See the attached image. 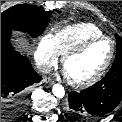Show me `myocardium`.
<instances>
[{
	"label": "myocardium",
	"mask_w": 122,
	"mask_h": 122,
	"mask_svg": "<svg viewBox=\"0 0 122 122\" xmlns=\"http://www.w3.org/2000/svg\"><path fill=\"white\" fill-rule=\"evenodd\" d=\"M102 40H107L111 44V51H110L108 59L106 60L104 65L98 70V72L95 73L93 76H91L88 79L76 81V80H72L68 77L69 83L71 85H73L74 87L84 88V87L91 86V85L95 84L96 82H98L104 76V74L106 73V71L110 67V65L113 61L114 55H115V50H116L115 41L111 37L106 36V35L92 37V38H89V39L81 42L80 44L76 45L75 47L68 50L65 54H63L61 62H62V65L64 67L66 62L71 57L79 55L86 48H88L90 45H92L96 42L102 41Z\"/></svg>",
	"instance_id": "myocardium-1"
}]
</instances>
